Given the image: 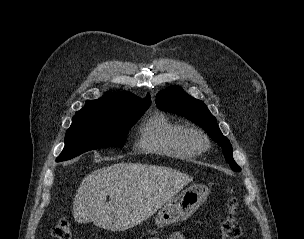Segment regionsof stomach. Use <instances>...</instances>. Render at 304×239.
<instances>
[{
  "label": "stomach",
  "mask_w": 304,
  "mask_h": 239,
  "mask_svg": "<svg viewBox=\"0 0 304 239\" xmlns=\"http://www.w3.org/2000/svg\"><path fill=\"white\" fill-rule=\"evenodd\" d=\"M208 195L209 190L205 185L190 186L159 209L155 223L162 227L188 219L206 201Z\"/></svg>",
  "instance_id": "1"
}]
</instances>
